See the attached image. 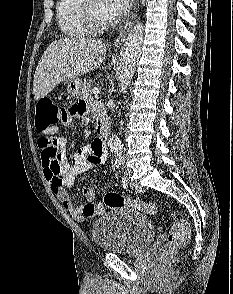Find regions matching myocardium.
Instances as JSON below:
<instances>
[{"label": "myocardium", "instance_id": "f54148a6", "mask_svg": "<svg viewBox=\"0 0 233 294\" xmlns=\"http://www.w3.org/2000/svg\"><path fill=\"white\" fill-rule=\"evenodd\" d=\"M83 16L86 25L92 33H101L112 25L111 20H102L94 13L90 5V0H85L84 2Z\"/></svg>", "mask_w": 233, "mask_h": 294}]
</instances>
